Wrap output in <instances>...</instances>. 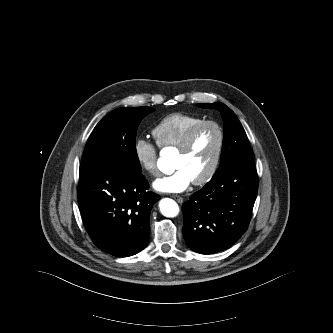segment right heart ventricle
<instances>
[{"label": "right heart ventricle", "mask_w": 333, "mask_h": 333, "mask_svg": "<svg viewBox=\"0 0 333 333\" xmlns=\"http://www.w3.org/2000/svg\"><path fill=\"white\" fill-rule=\"evenodd\" d=\"M203 121L198 116L173 113L160 120L152 133L158 146L178 148L191 129Z\"/></svg>", "instance_id": "e07e8e85"}]
</instances>
